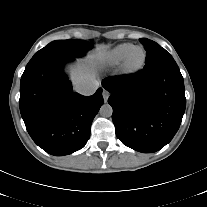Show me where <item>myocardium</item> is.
Returning <instances> with one entry per match:
<instances>
[{
	"label": "myocardium",
	"mask_w": 207,
	"mask_h": 207,
	"mask_svg": "<svg viewBox=\"0 0 207 207\" xmlns=\"http://www.w3.org/2000/svg\"><path fill=\"white\" fill-rule=\"evenodd\" d=\"M137 50L142 52V60L139 64L132 65L131 64V57L133 53ZM147 61V52L142 46H134L126 55L124 60L122 61L121 66V74L124 76H133L139 73L146 65Z\"/></svg>",
	"instance_id": "obj_1"
}]
</instances>
